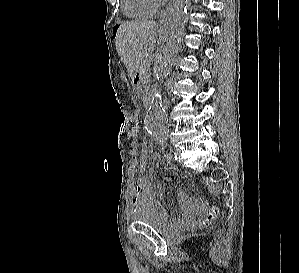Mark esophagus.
Listing matches in <instances>:
<instances>
[{"mask_svg": "<svg viewBox=\"0 0 299 273\" xmlns=\"http://www.w3.org/2000/svg\"><path fill=\"white\" fill-rule=\"evenodd\" d=\"M171 6H172V2H170L168 4V6L163 10V12L161 13L160 15V18H159V23L160 24H163L167 21V18H168V14H169V11L171 9Z\"/></svg>", "mask_w": 299, "mask_h": 273, "instance_id": "34e87169", "label": "esophagus"}]
</instances>
